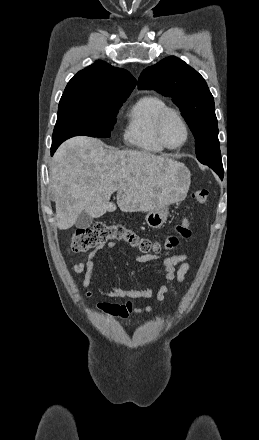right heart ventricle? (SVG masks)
<instances>
[{
  "label": "right heart ventricle",
  "instance_id": "1",
  "mask_svg": "<svg viewBox=\"0 0 259 440\" xmlns=\"http://www.w3.org/2000/svg\"><path fill=\"white\" fill-rule=\"evenodd\" d=\"M166 108V102L156 95L140 97L126 114L124 141L147 153H161L164 148L156 139L155 125L159 115Z\"/></svg>",
  "mask_w": 259,
  "mask_h": 440
}]
</instances>
